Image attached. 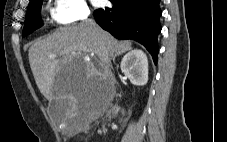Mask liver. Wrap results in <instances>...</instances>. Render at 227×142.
Returning a JSON list of instances; mask_svg holds the SVG:
<instances>
[{
    "mask_svg": "<svg viewBox=\"0 0 227 142\" xmlns=\"http://www.w3.org/2000/svg\"><path fill=\"white\" fill-rule=\"evenodd\" d=\"M130 49V41H118L100 27L96 38L92 29L82 23L58 28L47 38L35 42L28 57L42 95L50 103L55 99H66L71 107L70 118H74L79 115L93 84L101 85L104 81L110 86L114 84V76L109 69L114 53ZM91 56L102 64L104 73L97 71ZM73 61H80V66H73ZM61 73H79V78H61ZM70 124L71 121L67 123L68 127H64L65 133L70 132Z\"/></svg>",
    "mask_w": 227,
    "mask_h": 142,
    "instance_id": "obj_1",
    "label": "liver"
}]
</instances>
